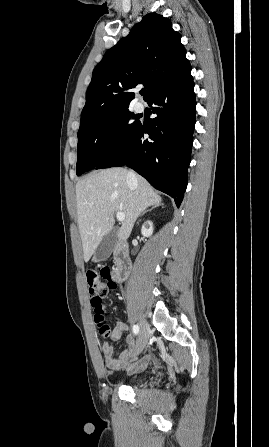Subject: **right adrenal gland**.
Listing matches in <instances>:
<instances>
[{
	"label": "right adrenal gland",
	"mask_w": 269,
	"mask_h": 447,
	"mask_svg": "<svg viewBox=\"0 0 269 447\" xmlns=\"http://www.w3.org/2000/svg\"><path fill=\"white\" fill-rule=\"evenodd\" d=\"M161 206H163V204H161ZM153 208H157V206H151V208H149V210H144V212H141V214H139L138 218H140V216H144V214H146V212H151V210H153Z\"/></svg>",
	"instance_id": "2a0ac1e0"
}]
</instances>
